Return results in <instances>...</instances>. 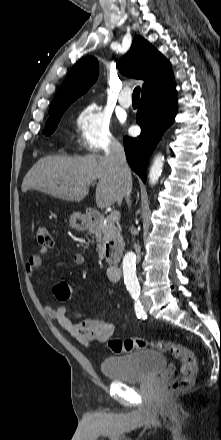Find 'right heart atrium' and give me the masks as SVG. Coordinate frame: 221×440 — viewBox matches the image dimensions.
<instances>
[{
	"label": "right heart atrium",
	"mask_w": 221,
	"mask_h": 440,
	"mask_svg": "<svg viewBox=\"0 0 221 440\" xmlns=\"http://www.w3.org/2000/svg\"><path fill=\"white\" fill-rule=\"evenodd\" d=\"M76 133L79 147L86 152L98 153L117 146L110 118L97 106H85L76 116Z\"/></svg>",
	"instance_id": "obj_1"
}]
</instances>
